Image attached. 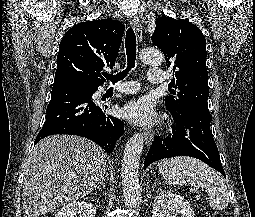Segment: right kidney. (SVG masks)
Wrapping results in <instances>:
<instances>
[{
	"instance_id": "obj_1",
	"label": "right kidney",
	"mask_w": 255,
	"mask_h": 217,
	"mask_svg": "<svg viewBox=\"0 0 255 217\" xmlns=\"http://www.w3.org/2000/svg\"><path fill=\"white\" fill-rule=\"evenodd\" d=\"M96 207L85 201H72L65 205L55 217H95Z\"/></svg>"
}]
</instances>
